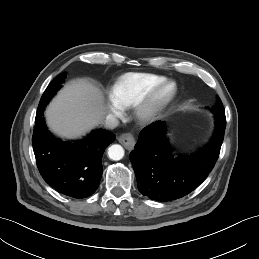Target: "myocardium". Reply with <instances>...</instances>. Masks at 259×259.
<instances>
[{"mask_svg": "<svg viewBox=\"0 0 259 259\" xmlns=\"http://www.w3.org/2000/svg\"><path fill=\"white\" fill-rule=\"evenodd\" d=\"M177 92V84L167 79L151 87L132 104L134 118L140 124L154 122L173 102Z\"/></svg>", "mask_w": 259, "mask_h": 259, "instance_id": "f54148a6", "label": "myocardium"}]
</instances>
